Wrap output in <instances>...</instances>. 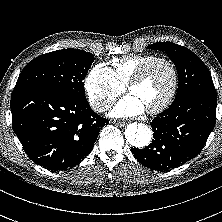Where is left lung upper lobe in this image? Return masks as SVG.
Listing matches in <instances>:
<instances>
[{
  "mask_svg": "<svg viewBox=\"0 0 222 222\" xmlns=\"http://www.w3.org/2000/svg\"><path fill=\"white\" fill-rule=\"evenodd\" d=\"M147 48L165 50L175 64L179 85L174 101L195 94L217 97L208 68L192 51L172 42L154 43Z\"/></svg>",
  "mask_w": 222,
  "mask_h": 222,
  "instance_id": "left-lung-upper-lobe-1",
  "label": "left lung upper lobe"
}]
</instances>
